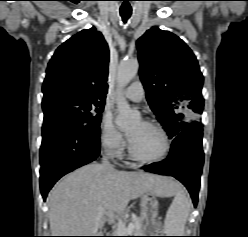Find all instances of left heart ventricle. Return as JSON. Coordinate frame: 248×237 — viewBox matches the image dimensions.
<instances>
[{"label": "left heart ventricle", "instance_id": "1", "mask_svg": "<svg viewBox=\"0 0 248 237\" xmlns=\"http://www.w3.org/2000/svg\"><path fill=\"white\" fill-rule=\"evenodd\" d=\"M127 132L132 135L130 142L133 148L142 157H156L164 149V141L159 132L142 121L134 122Z\"/></svg>", "mask_w": 248, "mask_h": 237}]
</instances>
